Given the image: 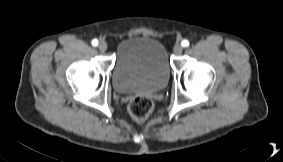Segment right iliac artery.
Returning a JSON list of instances; mask_svg holds the SVG:
<instances>
[{"mask_svg": "<svg viewBox=\"0 0 283 162\" xmlns=\"http://www.w3.org/2000/svg\"><path fill=\"white\" fill-rule=\"evenodd\" d=\"M92 45H93V46H97V45H98V40L94 39V40L92 41Z\"/></svg>", "mask_w": 283, "mask_h": 162, "instance_id": "1", "label": "right iliac artery"}]
</instances>
